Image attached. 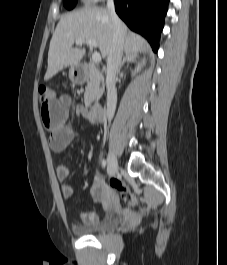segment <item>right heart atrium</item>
<instances>
[{"label":"right heart atrium","instance_id":"d8ad5b80","mask_svg":"<svg viewBox=\"0 0 227 265\" xmlns=\"http://www.w3.org/2000/svg\"><path fill=\"white\" fill-rule=\"evenodd\" d=\"M89 1H92V2H97V1H100V0H89Z\"/></svg>","mask_w":227,"mask_h":265}]
</instances>
